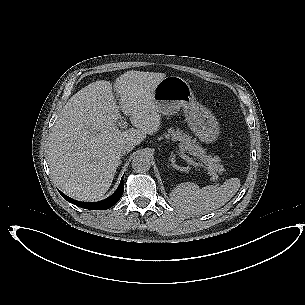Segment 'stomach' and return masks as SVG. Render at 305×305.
<instances>
[{
  "label": "stomach",
  "mask_w": 305,
  "mask_h": 305,
  "mask_svg": "<svg viewBox=\"0 0 305 305\" xmlns=\"http://www.w3.org/2000/svg\"><path fill=\"white\" fill-rule=\"evenodd\" d=\"M153 102L163 115H172L183 110L190 129L201 140L211 142L219 134L213 114L200 104L189 83L178 76H166L152 90Z\"/></svg>",
  "instance_id": "0dacf381"
}]
</instances>
